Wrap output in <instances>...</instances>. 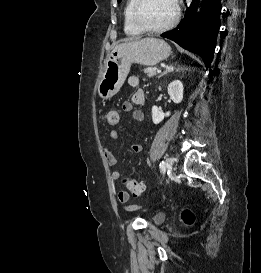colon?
Returning <instances> with one entry per match:
<instances>
[{
    "instance_id": "obj_1",
    "label": "colon",
    "mask_w": 261,
    "mask_h": 273,
    "mask_svg": "<svg viewBox=\"0 0 261 273\" xmlns=\"http://www.w3.org/2000/svg\"><path fill=\"white\" fill-rule=\"evenodd\" d=\"M103 118L106 124L111 127L119 123V113L116 110L106 111ZM123 183L133 196L139 197L145 192V186L132 178H125ZM182 218L185 223L190 224L194 220V215L190 210H185L182 214Z\"/></svg>"
}]
</instances>
